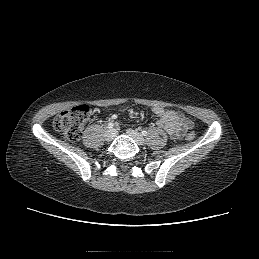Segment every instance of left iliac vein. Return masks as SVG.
<instances>
[{"instance_id": "left-iliac-vein-1", "label": "left iliac vein", "mask_w": 259, "mask_h": 259, "mask_svg": "<svg viewBox=\"0 0 259 259\" xmlns=\"http://www.w3.org/2000/svg\"><path fill=\"white\" fill-rule=\"evenodd\" d=\"M127 134L138 144L143 145L145 143L144 137L133 129H127Z\"/></svg>"}]
</instances>
